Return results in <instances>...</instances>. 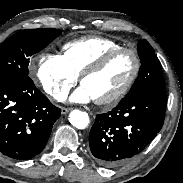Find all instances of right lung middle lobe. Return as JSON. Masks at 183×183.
<instances>
[{
  "label": "right lung middle lobe",
  "instance_id": "dd1d6c3e",
  "mask_svg": "<svg viewBox=\"0 0 183 183\" xmlns=\"http://www.w3.org/2000/svg\"><path fill=\"white\" fill-rule=\"evenodd\" d=\"M61 30L53 28L20 31L0 46V78L28 75L29 58L56 39Z\"/></svg>",
  "mask_w": 183,
  "mask_h": 183
}]
</instances>
